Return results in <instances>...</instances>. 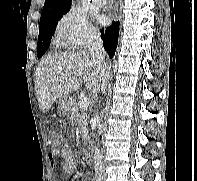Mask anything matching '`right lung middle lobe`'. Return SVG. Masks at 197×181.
<instances>
[{
  "label": "right lung middle lobe",
  "mask_w": 197,
  "mask_h": 181,
  "mask_svg": "<svg viewBox=\"0 0 197 181\" xmlns=\"http://www.w3.org/2000/svg\"><path fill=\"white\" fill-rule=\"evenodd\" d=\"M65 13L66 12L51 14L40 18L37 53L38 58H41L49 48L50 40L54 35L56 25Z\"/></svg>",
  "instance_id": "dd1d6c3e"
}]
</instances>
